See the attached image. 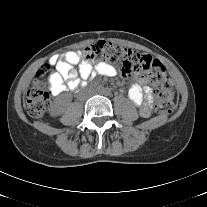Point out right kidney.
Returning a JSON list of instances; mask_svg holds the SVG:
<instances>
[{
  "mask_svg": "<svg viewBox=\"0 0 207 207\" xmlns=\"http://www.w3.org/2000/svg\"><path fill=\"white\" fill-rule=\"evenodd\" d=\"M63 113V108L57 103H54L50 108V116L57 117Z\"/></svg>",
  "mask_w": 207,
  "mask_h": 207,
  "instance_id": "ca27d5eb",
  "label": "right kidney"
}]
</instances>
